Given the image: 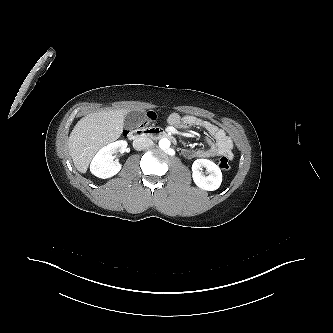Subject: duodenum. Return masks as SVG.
Returning <instances> with one entry per match:
<instances>
[{
  "mask_svg": "<svg viewBox=\"0 0 333 333\" xmlns=\"http://www.w3.org/2000/svg\"><path fill=\"white\" fill-rule=\"evenodd\" d=\"M128 138L135 147H141L146 139H167L175 143V138L166 130L161 128H142L130 131Z\"/></svg>",
  "mask_w": 333,
  "mask_h": 333,
  "instance_id": "obj_1",
  "label": "duodenum"
}]
</instances>
